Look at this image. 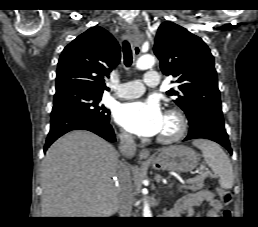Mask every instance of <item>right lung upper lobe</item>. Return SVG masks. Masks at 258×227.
<instances>
[{
    "mask_svg": "<svg viewBox=\"0 0 258 227\" xmlns=\"http://www.w3.org/2000/svg\"><path fill=\"white\" fill-rule=\"evenodd\" d=\"M120 61V45L105 29L95 26L68 44L58 61L56 93L81 90L102 94L104 76Z\"/></svg>",
    "mask_w": 258,
    "mask_h": 227,
    "instance_id": "obj_1",
    "label": "right lung upper lobe"
}]
</instances>
